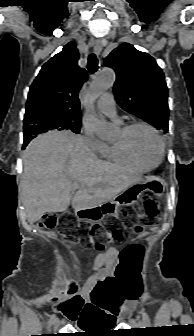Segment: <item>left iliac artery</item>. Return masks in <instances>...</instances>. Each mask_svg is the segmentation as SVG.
<instances>
[{
	"label": "left iliac artery",
	"mask_w": 194,
	"mask_h": 336,
	"mask_svg": "<svg viewBox=\"0 0 194 336\" xmlns=\"http://www.w3.org/2000/svg\"><path fill=\"white\" fill-rule=\"evenodd\" d=\"M142 316H143V321H144V324L148 327H150V318L148 316L147 313H145L144 311H142Z\"/></svg>",
	"instance_id": "1"
}]
</instances>
